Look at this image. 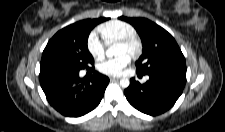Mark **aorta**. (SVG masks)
<instances>
[{"instance_id":"aorta-1","label":"aorta","mask_w":225,"mask_h":132,"mask_svg":"<svg viewBox=\"0 0 225 132\" xmlns=\"http://www.w3.org/2000/svg\"><path fill=\"white\" fill-rule=\"evenodd\" d=\"M106 55H107V57H113V56L120 55L119 46L113 45V46L109 47L106 50ZM129 84H130V81L127 78H123V79L120 80V86L122 88H127L129 86Z\"/></svg>"}]
</instances>
